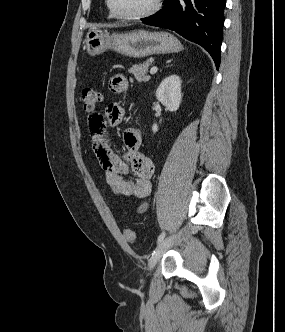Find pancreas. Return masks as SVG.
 I'll use <instances>...</instances> for the list:
<instances>
[{"label":"pancreas","mask_w":285,"mask_h":332,"mask_svg":"<svg viewBox=\"0 0 285 332\" xmlns=\"http://www.w3.org/2000/svg\"><path fill=\"white\" fill-rule=\"evenodd\" d=\"M149 65H150V61H146L143 64L134 65L130 69V73H132V75H134V77L137 79V81L147 82L150 80V76L147 75Z\"/></svg>","instance_id":"obj_1"}]
</instances>
